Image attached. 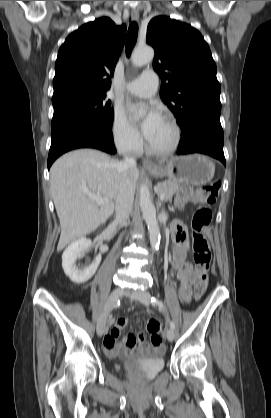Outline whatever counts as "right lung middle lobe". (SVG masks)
<instances>
[{
    "instance_id": "obj_1",
    "label": "right lung middle lobe",
    "mask_w": 271,
    "mask_h": 418,
    "mask_svg": "<svg viewBox=\"0 0 271 418\" xmlns=\"http://www.w3.org/2000/svg\"><path fill=\"white\" fill-rule=\"evenodd\" d=\"M106 93L77 94L53 100L54 114L51 132L62 127L85 122H103L112 126L113 108Z\"/></svg>"
}]
</instances>
